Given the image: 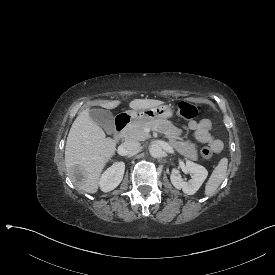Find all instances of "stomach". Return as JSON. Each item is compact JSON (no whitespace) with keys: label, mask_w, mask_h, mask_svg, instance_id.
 I'll list each match as a JSON object with an SVG mask.
<instances>
[{"label":"stomach","mask_w":275,"mask_h":275,"mask_svg":"<svg viewBox=\"0 0 275 275\" xmlns=\"http://www.w3.org/2000/svg\"><path fill=\"white\" fill-rule=\"evenodd\" d=\"M133 121L149 122L155 119H168L173 117V110L168 105H159L149 109L127 111Z\"/></svg>","instance_id":"stomach-1"}]
</instances>
